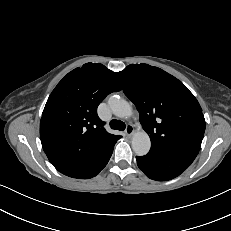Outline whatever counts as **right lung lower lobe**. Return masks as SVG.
Segmentation results:
<instances>
[{"label": "right lung lower lobe", "instance_id": "1", "mask_svg": "<svg viewBox=\"0 0 231 231\" xmlns=\"http://www.w3.org/2000/svg\"><path fill=\"white\" fill-rule=\"evenodd\" d=\"M115 143L116 142H114L104 153L91 163L66 175L72 178L81 179H88L96 176L108 163Z\"/></svg>", "mask_w": 231, "mask_h": 231}]
</instances>
